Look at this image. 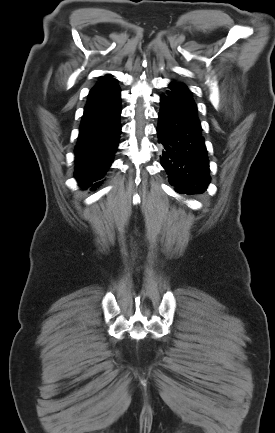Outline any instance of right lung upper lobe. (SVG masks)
I'll return each instance as SVG.
<instances>
[{
  "mask_svg": "<svg viewBox=\"0 0 275 433\" xmlns=\"http://www.w3.org/2000/svg\"><path fill=\"white\" fill-rule=\"evenodd\" d=\"M102 79H103V81L101 83L112 82L114 80V78H112L110 76H103Z\"/></svg>",
  "mask_w": 275,
  "mask_h": 433,
  "instance_id": "right-lung-upper-lobe-1",
  "label": "right lung upper lobe"
}]
</instances>
